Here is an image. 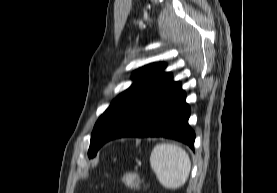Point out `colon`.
Segmentation results:
<instances>
[{"mask_svg": "<svg viewBox=\"0 0 277 193\" xmlns=\"http://www.w3.org/2000/svg\"><path fill=\"white\" fill-rule=\"evenodd\" d=\"M118 180L124 186L136 190V191H144L145 184L142 178L133 171L123 172L119 175Z\"/></svg>", "mask_w": 277, "mask_h": 193, "instance_id": "5ec220e1", "label": "colon"}]
</instances>
